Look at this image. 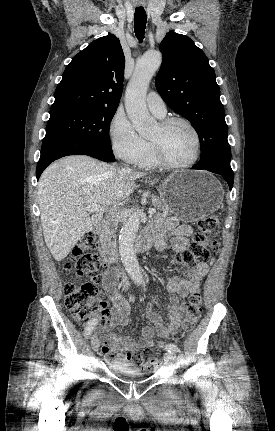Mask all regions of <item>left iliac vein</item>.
<instances>
[{
    "instance_id": "left-iliac-vein-1",
    "label": "left iliac vein",
    "mask_w": 275,
    "mask_h": 431,
    "mask_svg": "<svg viewBox=\"0 0 275 431\" xmlns=\"http://www.w3.org/2000/svg\"><path fill=\"white\" fill-rule=\"evenodd\" d=\"M164 361L168 365L173 366L176 363V355H175V353L166 352L164 354Z\"/></svg>"
}]
</instances>
